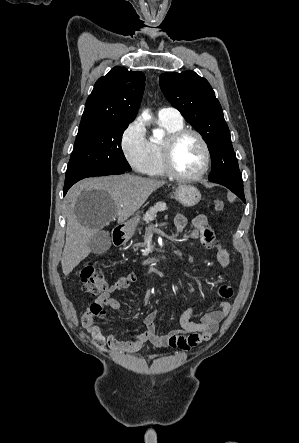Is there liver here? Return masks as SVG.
Wrapping results in <instances>:
<instances>
[{
	"label": "liver",
	"instance_id": "1",
	"mask_svg": "<svg viewBox=\"0 0 299 443\" xmlns=\"http://www.w3.org/2000/svg\"><path fill=\"white\" fill-rule=\"evenodd\" d=\"M165 183L124 174L76 184L67 194L66 242L61 259L64 275H69L90 254L89 241L97 231L116 217L118 223L126 221Z\"/></svg>",
	"mask_w": 299,
	"mask_h": 443
}]
</instances>
